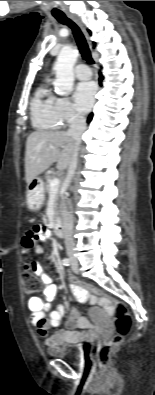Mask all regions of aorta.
Here are the masks:
<instances>
[{
	"instance_id": "aorta-1",
	"label": "aorta",
	"mask_w": 155,
	"mask_h": 395,
	"mask_svg": "<svg viewBox=\"0 0 155 395\" xmlns=\"http://www.w3.org/2000/svg\"><path fill=\"white\" fill-rule=\"evenodd\" d=\"M78 51L71 46H63L54 65L55 92L60 96L68 95L74 84L73 67L76 63Z\"/></svg>"
}]
</instances>
